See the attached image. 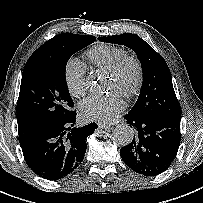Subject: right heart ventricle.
Wrapping results in <instances>:
<instances>
[{"mask_svg":"<svg viewBox=\"0 0 203 203\" xmlns=\"http://www.w3.org/2000/svg\"><path fill=\"white\" fill-rule=\"evenodd\" d=\"M125 54V50L121 47L97 44L85 52V57L92 66L109 71Z\"/></svg>","mask_w":203,"mask_h":203,"instance_id":"obj_1","label":"right heart ventricle"}]
</instances>
